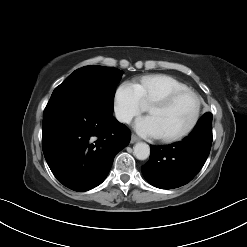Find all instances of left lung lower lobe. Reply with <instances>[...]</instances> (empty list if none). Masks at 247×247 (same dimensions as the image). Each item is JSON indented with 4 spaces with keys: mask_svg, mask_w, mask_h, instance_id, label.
I'll return each mask as SVG.
<instances>
[{
    "mask_svg": "<svg viewBox=\"0 0 247 247\" xmlns=\"http://www.w3.org/2000/svg\"><path fill=\"white\" fill-rule=\"evenodd\" d=\"M212 144V114L205 113L181 142L150 146L149 161L142 166L145 179L161 189L187 184L200 171Z\"/></svg>",
    "mask_w": 247,
    "mask_h": 247,
    "instance_id": "1",
    "label": "left lung lower lobe"
}]
</instances>
